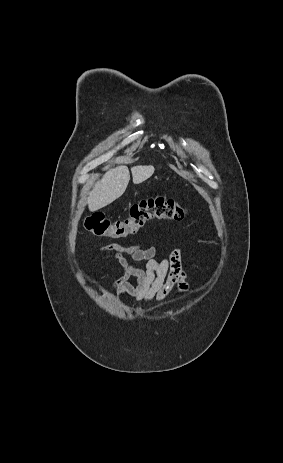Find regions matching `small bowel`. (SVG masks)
<instances>
[{
	"label": "small bowel",
	"instance_id": "small-bowel-1",
	"mask_svg": "<svg viewBox=\"0 0 283 463\" xmlns=\"http://www.w3.org/2000/svg\"><path fill=\"white\" fill-rule=\"evenodd\" d=\"M106 258L119 262L123 274L112 282L120 295H130L144 303L163 302L173 291L185 294L191 291L188 275L182 263V250H173L167 258L160 259L155 247L140 245L123 246L108 244L100 248ZM146 261L145 270L136 268L132 262ZM135 278L137 284L130 283Z\"/></svg>",
	"mask_w": 283,
	"mask_h": 463
}]
</instances>
